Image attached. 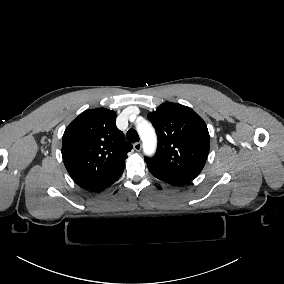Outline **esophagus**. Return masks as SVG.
<instances>
[{"label": "esophagus", "instance_id": "1", "mask_svg": "<svg viewBox=\"0 0 284 284\" xmlns=\"http://www.w3.org/2000/svg\"><path fill=\"white\" fill-rule=\"evenodd\" d=\"M133 147H134V149H135L137 152H139V151L141 150V148H142V143H141V142L135 143V144L133 145Z\"/></svg>", "mask_w": 284, "mask_h": 284}]
</instances>
